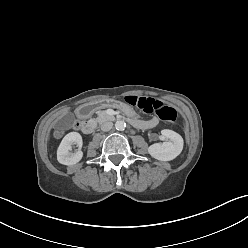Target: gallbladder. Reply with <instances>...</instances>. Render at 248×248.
<instances>
[{"instance_id":"obj_1","label":"gallbladder","mask_w":248,"mask_h":248,"mask_svg":"<svg viewBox=\"0 0 248 248\" xmlns=\"http://www.w3.org/2000/svg\"><path fill=\"white\" fill-rule=\"evenodd\" d=\"M57 126H58V127H62V126H63V122H59V123L57 124Z\"/></svg>"}]
</instances>
